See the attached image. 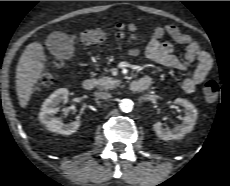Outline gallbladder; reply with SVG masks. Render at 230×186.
Masks as SVG:
<instances>
[{
    "instance_id": "gallbladder-1",
    "label": "gallbladder",
    "mask_w": 230,
    "mask_h": 186,
    "mask_svg": "<svg viewBox=\"0 0 230 186\" xmlns=\"http://www.w3.org/2000/svg\"><path fill=\"white\" fill-rule=\"evenodd\" d=\"M47 46L50 53L58 59H69L74 51L71 39L62 32L52 33L48 37Z\"/></svg>"
}]
</instances>
